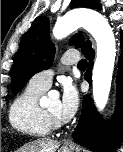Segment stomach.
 Instances as JSON below:
<instances>
[{"label": "stomach", "mask_w": 123, "mask_h": 152, "mask_svg": "<svg viewBox=\"0 0 123 152\" xmlns=\"http://www.w3.org/2000/svg\"><path fill=\"white\" fill-rule=\"evenodd\" d=\"M58 152H72L69 148H61Z\"/></svg>", "instance_id": "1"}]
</instances>
